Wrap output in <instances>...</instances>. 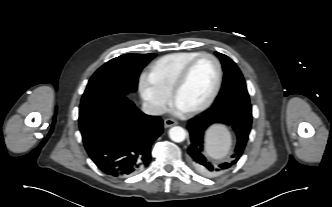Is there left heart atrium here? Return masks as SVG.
I'll return each mask as SVG.
<instances>
[{
	"label": "left heart atrium",
	"instance_id": "obj_1",
	"mask_svg": "<svg viewBox=\"0 0 332 207\" xmlns=\"http://www.w3.org/2000/svg\"><path fill=\"white\" fill-rule=\"evenodd\" d=\"M176 109H177L178 112H184V110L181 109L180 107H178L177 105H176Z\"/></svg>",
	"mask_w": 332,
	"mask_h": 207
}]
</instances>
